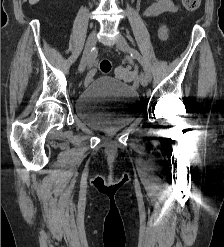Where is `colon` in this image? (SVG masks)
<instances>
[{"label": "colon", "instance_id": "1", "mask_svg": "<svg viewBox=\"0 0 224 247\" xmlns=\"http://www.w3.org/2000/svg\"><path fill=\"white\" fill-rule=\"evenodd\" d=\"M185 9L189 12L197 11L200 7L201 0H182ZM98 69L102 74H109L112 71V63L104 58L99 61ZM116 77L126 82L135 81V73L123 66H119L115 70Z\"/></svg>", "mask_w": 224, "mask_h": 247}]
</instances>
